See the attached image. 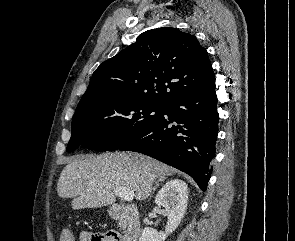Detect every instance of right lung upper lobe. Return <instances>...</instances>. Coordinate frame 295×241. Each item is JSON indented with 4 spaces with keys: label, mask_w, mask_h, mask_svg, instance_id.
<instances>
[{
    "label": "right lung upper lobe",
    "mask_w": 295,
    "mask_h": 241,
    "mask_svg": "<svg viewBox=\"0 0 295 241\" xmlns=\"http://www.w3.org/2000/svg\"><path fill=\"white\" fill-rule=\"evenodd\" d=\"M214 80L207 51L193 35L157 28L142 33L135 43L103 62L82 99L115 95L163 106Z\"/></svg>",
    "instance_id": "obj_1"
}]
</instances>
